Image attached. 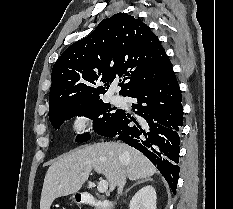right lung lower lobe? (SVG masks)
Returning <instances> with one entry per match:
<instances>
[{
  "label": "right lung lower lobe",
  "instance_id": "1",
  "mask_svg": "<svg viewBox=\"0 0 233 209\" xmlns=\"http://www.w3.org/2000/svg\"><path fill=\"white\" fill-rule=\"evenodd\" d=\"M127 96L136 99L132 108L140 118L121 111L115 122L100 135L116 136L141 151L158 168L175 194L183 108L172 65L156 81Z\"/></svg>",
  "mask_w": 233,
  "mask_h": 209
}]
</instances>
